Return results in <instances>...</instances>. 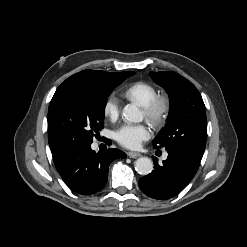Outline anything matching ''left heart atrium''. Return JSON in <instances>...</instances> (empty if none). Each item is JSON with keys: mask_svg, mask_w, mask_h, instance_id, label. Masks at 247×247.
Masks as SVG:
<instances>
[{"mask_svg": "<svg viewBox=\"0 0 247 247\" xmlns=\"http://www.w3.org/2000/svg\"><path fill=\"white\" fill-rule=\"evenodd\" d=\"M150 135L151 130L146 124H124L116 131L115 138L120 145L129 149H136Z\"/></svg>", "mask_w": 247, "mask_h": 247, "instance_id": "obj_1", "label": "left heart atrium"}]
</instances>
